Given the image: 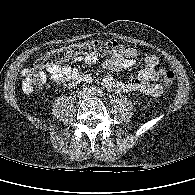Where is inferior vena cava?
I'll return each mask as SVG.
<instances>
[{
	"instance_id": "obj_1",
	"label": "inferior vena cava",
	"mask_w": 195,
	"mask_h": 195,
	"mask_svg": "<svg viewBox=\"0 0 195 195\" xmlns=\"http://www.w3.org/2000/svg\"><path fill=\"white\" fill-rule=\"evenodd\" d=\"M80 95L81 97L85 98V97L92 95V92L91 90L85 88L82 91H80Z\"/></svg>"
}]
</instances>
